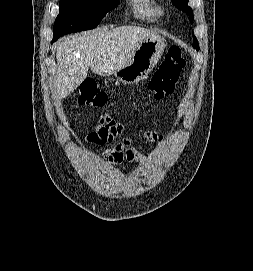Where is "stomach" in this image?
Returning a JSON list of instances; mask_svg holds the SVG:
<instances>
[{
  "label": "stomach",
  "mask_w": 253,
  "mask_h": 271,
  "mask_svg": "<svg viewBox=\"0 0 253 271\" xmlns=\"http://www.w3.org/2000/svg\"><path fill=\"white\" fill-rule=\"evenodd\" d=\"M165 47V40L162 37L143 41L136 48L128 63L116 71L114 76L123 84L138 83L152 71Z\"/></svg>",
  "instance_id": "0dacf381"
}]
</instances>
